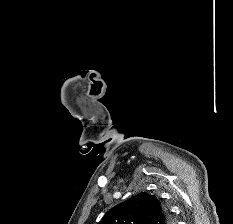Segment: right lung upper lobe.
Segmentation results:
<instances>
[{"label":"right lung upper lobe","mask_w":233,"mask_h":224,"mask_svg":"<svg viewBox=\"0 0 233 224\" xmlns=\"http://www.w3.org/2000/svg\"><path fill=\"white\" fill-rule=\"evenodd\" d=\"M167 209L154 195L146 192L109 210L98 224H171Z\"/></svg>","instance_id":"obj_1"}]
</instances>
